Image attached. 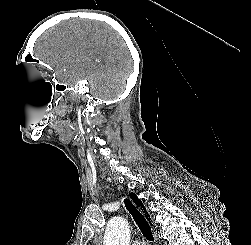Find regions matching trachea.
<instances>
[{"instance_id": "trachea-1", "label": "trachea", "mask_w": 251, "mask_h": 245, "mask_svg": "<svg viewBox=\"0 0 251 245\" xmlns=\"http://www.w3.org/2000/svg\"><path fill=\"white\" fill-rule=\"evenodd\" d=\"M125 207L132 215L133 219L135 220L136 224L138 225L139 229L141 230L143 236L149 240L153 241V234L151 231V227L145 217L138 211V209L133 205L131 201L128 199L124 200Z\"/></svg>"}]
</instances>
